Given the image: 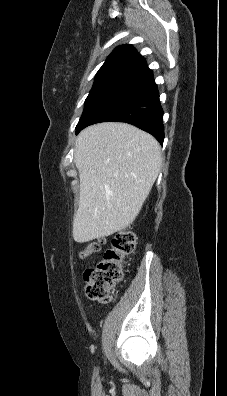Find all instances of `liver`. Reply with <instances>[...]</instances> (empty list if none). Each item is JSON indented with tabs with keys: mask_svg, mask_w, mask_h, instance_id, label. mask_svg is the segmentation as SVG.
<instances>
[{
	"mask_svg": "<svg viewBox=\"0 0 227 396\" xmlns=\"http://www.w3.org/2000/svg\"><path fill=\"white\" fill-rule=\"evenodd\" d=\"M74 162L80 197L72 233L76 242L84 243L135 220L160 172V146L132 125L105 122L80 132Z\"/></svg>",
	"mask_w": 227,
	"mask_h": 396,
	"instance_id": "liver-1",
	"label": "liver"
}]
</instances>
